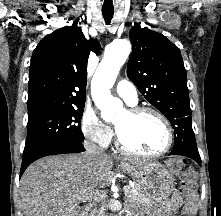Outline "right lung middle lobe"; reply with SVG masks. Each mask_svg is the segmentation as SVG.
Masks as SVG:
<instances>
[{"label":"right lung middle lobe","mask_w":221,"mask_h":216,"mask_svg":"<svg viewBox=\"0 0 221 216\" xmlns=\"http://www.w3.org/2000/svg\"><path fill=\"white\" fill-rule=\"evenodd\" d=\"M84 105L70 106L28 117L23 160L50 147L64 143H82L80 122Z\"/></svg>","instance_id":"right-lung-middle-lobe-1"}]
</instances>
